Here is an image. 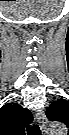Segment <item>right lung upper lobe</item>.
Masks as SVG:
<instances>
[{"label":"right lung upper lobe","mask_w":69,"mask_h":135,"mask_svg":"<svg viewBox=\"0 0 69 135\" xmlns=\"http://www.w3.org/2000/svg\"><path fill=\"white\" fill-rule=\"evenodd\" d=\"M32 120V113L19 104L8 103L0 109V127L3 135H23L26 124Z\"/></svg>","instance_id":"1"}]
</instances>
